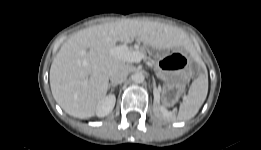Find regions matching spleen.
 <instances>
[{
    "label": "spleen",
    "mask_w": 261,
    "mask_h": 150,
    "mask_svg": "<svg viewBox=\"0 0 261 150\" xmlns=\"http://www.w3.org/2000/svg\"><path fill=\"white\" fill-rule=\"evenodd\" d=\"M208 93V76L196 78L188 91V97L180 104L177 119L186 121L193 118L203 105Z\"/></svg>",
    "instance_id": "obj_1"
}]
</instances>
